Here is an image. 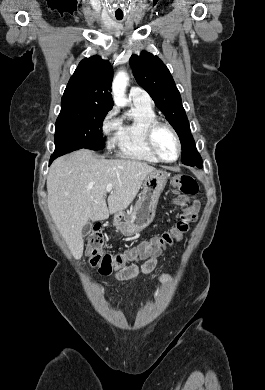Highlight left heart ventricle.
Masks as SVG:
<instances>
[{"label":"left heart ventricle","mask_w":265,"mask_h":390,"mask_svg":"<svg viewBox=\"0 0 265 390\" xmlns=\"http://www.w3.org/2000/svg\"><path fill=\"white\" fill-rule=\"evenodd\" d=\"M155 145L163 158L173 160L177 155V144L169 130L160 128L155 134Z\"/></svg>","instance_id":"left-heart-ventricle-1"}]
</instances>
